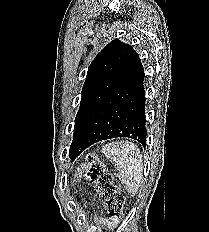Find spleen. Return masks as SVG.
<instances>
[{"label": "spleen", "mask_w": 209, "mask_h": 232, "mask_svg": "<svg viewBox=\"0 0 209 232\" xmlns=\"http://www.w3.org/2000/svg\"><path fill=\"white\" fill-rule=\"evenodd\" d=\"M103 153L117 166L118 177L132 196L141 185L143 161L140 149L132 142H112L103 147Z\"/></svg>", "instance_id": "spleen-1"}]
</instances>
